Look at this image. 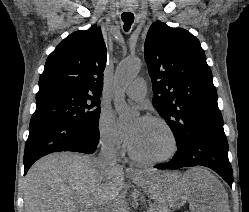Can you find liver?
Here are the masks:
<instances>
[{"mask_svg": "<svg viewBox=\"0 0 249 212\" xmlns=\"http://www.w3.org/2000/svg\"><path fill=\"white\" fill-rule=\"evenodd\" d=\"M122 166H98L91 156L55 152L33 164L24 178L25 212H111L124 188ZM131 180L154 204L191 212H229L223 184L206 168L186 174L135 170Z\"/></svg>", "mask_w": 249, "mask_h": 212, "instance_id": "liver-1", "label": "liver"}]
</instances>
